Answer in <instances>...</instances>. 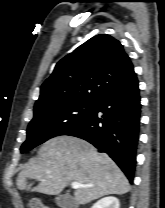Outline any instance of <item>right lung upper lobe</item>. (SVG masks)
<instances>
[{
  "instance_id": "1",
  "label": "right lung upper lobe",
  "mask_w": 165,
  "mask_h": 208,
  "mask_svg": "<svg viewBox=\"0 0 165 208\" xmlns=\"http://www.w3.org/2000/svg\"><path fill=\"white\" fill-rule=\"evenodd\" d=\"M120 42L100 34L61 59L42 84L34 110L68 101H98L134 75Z\"/></svg>"
}]
</instances>
